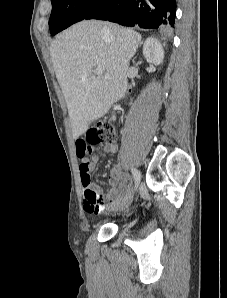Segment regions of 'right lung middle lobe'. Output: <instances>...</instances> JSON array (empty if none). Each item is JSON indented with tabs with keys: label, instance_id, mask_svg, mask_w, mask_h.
I'll use <instances>...</instances> for the list:
<instances>
[{
	"label": "right lung middle lobe",
	"instance_id": "right-lung-middle-lobe-1",
	"mask_svg": "<svg viewBox=\"0 0 227 298\" xmlns=\"http://www.w3.org/2000/svg\"><path fill=\"white\" fill-rule=\"evenodd\" d=\"M52 12L49 19L51 35L83 20L102 5L105 0H51Z\"/></svg>",
	"mask_w": 227,
	"mask_h": 298
}]
</instances>
